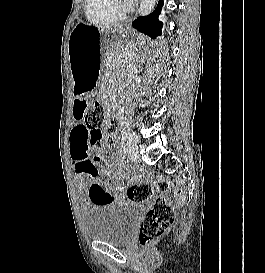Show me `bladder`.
Instances as JSON below:
<instances>
[{
	"mask_svg": "<svg viewBox=\"0 0 265 273\" xmlns=\"http://www.w3.org/2000/svg\"><path fill=\"white\" fill-rule=\"evenodd\" d=\"M139 212L125 203L94 205L82 214V226L87 239L115 246L129 242L134 234Z\"/></svg>",
	"mask_w": 265,
	"mask_h": 273,
	"instance_id": "bladder-1",
	"label": "bladder"
}]
</instances>
